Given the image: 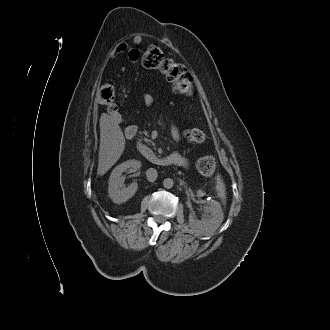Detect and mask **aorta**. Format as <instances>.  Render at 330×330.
I'll list each match as a JSON object with an SVG mask.
<instances>
[{
  "mask_svg": "<svg viewBox=\"0 0 330 330\" xmlns=\"http://www.w3.org/2000/svg\"><path fill=\"white\" fill-rule=\"evenodd\" d=\"M174 185L173 179L171 178H166L163 181V186L167 189H171Z\"/></svg>",
  "mask_w": 330,
  "mask_h": 330,
  "instance_id": "762f6f07",
  "label": "aorta"
}]
</instances>
